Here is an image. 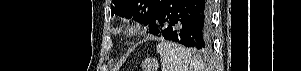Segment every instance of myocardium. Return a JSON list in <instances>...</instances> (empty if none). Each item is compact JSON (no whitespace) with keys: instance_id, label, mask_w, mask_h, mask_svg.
Returning <instances> with one entry per match:
<instances>
[{"instance_id":"myocardium-1","label":"myocardium","mask_w":301,"mask_h":71,"mask_svg":"<svg viewBox=\"0 0 301 71\" xmlns=\"http://www.w3.org/2000/svg\"><path fill=\"white\" fill-rule=\"evenodd\" d=\"M141 29L138 23H132L124 27L123 35L125 38L134 37Z\"/></svg>"}]
</instances>
